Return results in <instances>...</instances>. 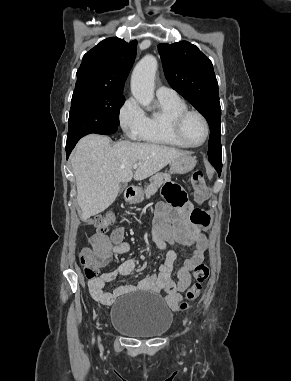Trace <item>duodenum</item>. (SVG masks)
Listing matches in <instances>:
<instances>
[{"mask_svg":"<svg viewBox=\"0 0 291 381\" xmlns=\"http://www.w3.org/2000/svg\"><path fill=\"white\" fill-rule=\"evenodd\" d=\"M125 196L129 203H133L138 196V189L135 187H128L125 191Z\"/></svg>","mask_w":291,"mask_h":381,"instance_id":"1","label":"duodenum"}]
</instances>
